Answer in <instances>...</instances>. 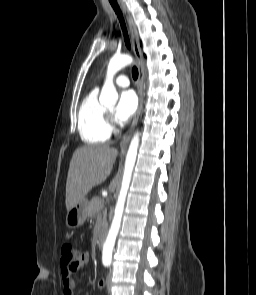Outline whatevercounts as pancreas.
Returning a JSON list of instances; mask_svg holds the SVG:
<instances>
[{"label": "pancreas", "instance_id": "obj_1", "mask_svg": "<svg viewBox=\"0 0 256 295\" xmlns=\"http://www.w3.org/2000/svg\"><path fill=\"white\" fill-rule=\"evenodd\" d=\"M105 203L104 200H102L99 197L93 198L89 203L87 207V215L89 217H96L98 221L101 223L105 222V209H104ZM103 214V217H102Z\"/></svg>", "mask_w": 256, "mask_h": 295}]
</instances>
